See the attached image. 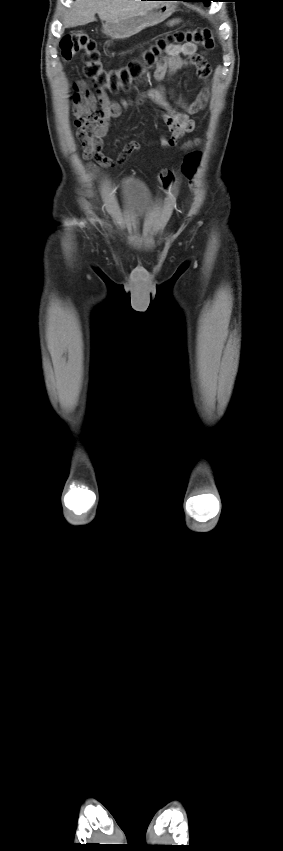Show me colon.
I'll use <instances>...</instances> for the list:
<instances>
[{
  "instance_id": "obj_1",
  "label": "colon",
  "mask_w": 283,
  "mask_h": 851,
  "mask_svg": "<svg viewBox=\"0 0 283 851\" xmlns=\"http://www.w3.org/2000/svg\"><path fill=\"white\" fill-rule=\"evenodd\" d=\"M194 44L204 48L214 46V35L211 29H177L159 36L154 43L142 53L140 61L132 62L128 67L118 70H106L101 61V53L96 41L84 31H76L66 35L60 42L62 58L70 61L75 55L82 53L84 61V74L91 80L96 90L109 89L112 92L127 90L133 83L142 80L145 69L157 68L163 59V54L171 45ZM199 152H191L186 155L183 165V174L192 182L200 162ZM158 180L169 188L174 176L169 170H162L158 174Z\"/></svg>"
}]
</instances>
